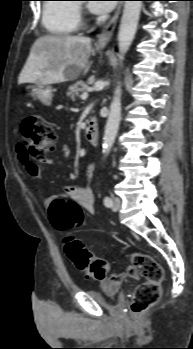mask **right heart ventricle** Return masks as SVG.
<instances>
[{
	"label": "right heart ventricle",
	"mask_w": 193,
	"mask_h": 349,
	"mask_svg": "<svg viewBox=\"0 0 193 349\" xmlns=\"http://www.w3.org/2000/svg\"><path fill=\"white\" fill-rule=\"evenodd\" d=\"M44 4L42 24L54 36H68L80 26V8L73 0H48ZM56 1H64L56 3Z\"/></svg>",
	"instance_id": "1"
}]
</instances>
